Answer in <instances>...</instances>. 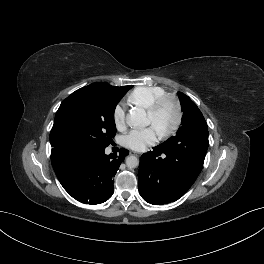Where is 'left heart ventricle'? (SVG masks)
Segmentation results:
<instances>
[{"label": "left heart ventricle", "mask_w": 264, "mask_h": 264, "mask_svg": "<svg viewBox=\"0 0 264 264\" xmlns=\"http://www.w3.org/2000/svg\"><path fill=\"white\" fill-rule=\"evenodd\" d=\"M174 119L175 112L170 103H166L155 116L147 114L148 123L154 126L158 132L168 129Z\"/></svg>", "instance_id": "obj_1"}]
</instances>
